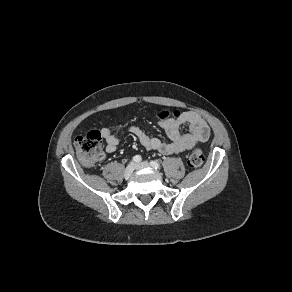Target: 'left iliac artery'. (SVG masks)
<instances>
[{"label": "left iliac artery", "instance_id": "left-iliac-artery-1", "mask_svg": "<svg viewBox=\"0 0 292 292\" xmlns=\"http://www.w3.org/2000/svg\"><path fill=\"white\" fill-rule=\"evenodd\" d=\"M150 165L153 167V168H155V169H160L161 167H160V164L158 163V162H156V161H151L150 162Z\"/></svg>", "mask_w": 292, "mask_h": 292}]
</instances>
